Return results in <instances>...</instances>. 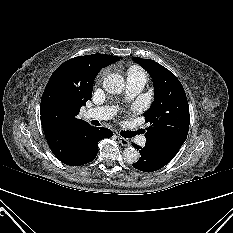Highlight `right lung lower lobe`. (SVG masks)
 <instances>
[{
    "label": "right lung lower lobe",
    "instance_id": "obj_1",
    "mask_svg": "<svg viewBox=\"0 0 233 233\" xmlns=\"http://www.w3.org/2000/svg\"><path fill=\"white\" fill-rule=\"evenodd\" d=\"M112 135L113 132L107 128L88 126L77 134L67 151L54 155L58 160L70 166L87 164L96 157L98 142Z\"/></svg>",
    "mask_w": 233,
    "mask_h": 233
}]
</instances>
